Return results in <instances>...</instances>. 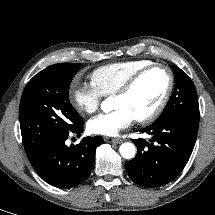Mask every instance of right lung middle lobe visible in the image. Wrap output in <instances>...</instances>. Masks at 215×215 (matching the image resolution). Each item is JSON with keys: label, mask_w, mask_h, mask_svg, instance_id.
Returning <instances> with one entry per match:
<instances>
[{"label": "right lung middle lobe", "mask_w": 215, "mask_h": 215, "mask_svg": "<svg viewBox=\"0 0 215 215\" xmlns=\"http://www.w3.org/2000/svg\"><path fill=\"white\" fill-rule=\"evenodd\" d=\"M80 65H51L37 73L26 85L19 109L26 154L71 131L82 120L68 97L70 83Z\"/></svg>", "instance_id": "obj_1"}]
</instances>
